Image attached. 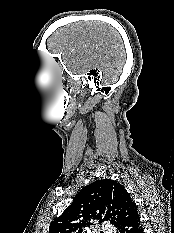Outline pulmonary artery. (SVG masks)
Returning a JSON list of instances; mask_svg holds the SVG:
<instances>
[{"label": "pulmonary artery", "mask_w": 174, "mask_h": 233, "mask_svg": "<svg viewBox=\"0 0 174 233\" xmlns=\"http://www.w3.org/2000/svg\"><path fill=\"white\" fill-rule=\"evenodd\" d=\"M102 231H103L104 233H114L113 227H111V226L108 225V224H103V225H102Z\"/></svg>", "instance_id": "1"}]
</instances>
